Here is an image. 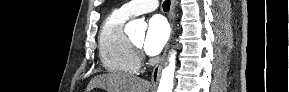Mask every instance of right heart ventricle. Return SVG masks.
Returning <instances> with one entry per match:
<instances>
[{
	"mask_svg": "<svg viewBox=\"0 0 289 92\" xmlns=\"http://www.w3.org/2000/svg\"><path fill=\"white\" fill-rule=\"evenodd\" d=\"M127 16L113 11L104 20L99 33V54L103 67L116 74H134L139 59L123 27Z\"/></svg>",
	"mask_w": 289,
	"mask_h": 92,
	"instance_id": "obj_1",
	"label": "right heart ventricle"
}]
</instances>
